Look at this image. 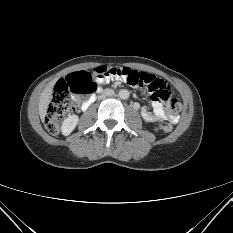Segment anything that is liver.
<instances>
[{"mask_svg":"<svg viewBox=\"0 0 233 233\" xmlns=\"http://www.w3.org/2000/svg\"><path fill=\"white\" fill-rule=\"evenodd\" d=\"M55 82L56 81L54 80L48 83L46 88L44 89V91L42 92L40 96L38 111H39V116L42 121L44 120L47 114L48 105L51 102L52 92H53V87L55 85Z\"/></svg>","mask_w":233,"mask_h":233,"instance_id":"1","label":"liver"}]
</instances>
